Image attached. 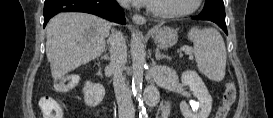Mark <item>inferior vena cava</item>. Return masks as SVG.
<instances>
[{
    "label": "inferior vena cava",
    "mask_w": 273,
    "mask_h": 118,
    "mask_svg": "<svg viewBox=\"0 0 273 118\" xmlns=\"http://www.w3.org/2000/svg\"><path fill=\"white\" fill-rule=\"evenodd\" d=\"M120 3L123 7L127 6L124 1ZM108 42L111 45L109 69L113 73V86L118 103L119 117L133 118L135 110L123 76V69L127 60L126 42L122 33L117 31H112Z\"/></svg>",
    "instance_id": "inferior-vena-cava-1"
}]
</instances>
